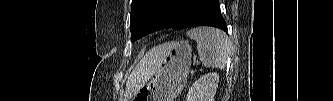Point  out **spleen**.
<instances>
[{
  "label": "spleen",
  "instance_id": "3e777b00",
  "mask_svg": "<svg viewBox=\"0 0 333 101\" xmlns=\"http://www.w3.org/2000/svg\"><path fill=\"white\" fill-rule=\"evenodd\" d=\"M187 35L197 42L198 54L204 67L224 68L231 52V42L223 31L199 27L188 31Z\"/></svg>",
  "mask_w": 333,
  "mask_h": 101
}]
</instances>
